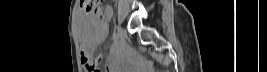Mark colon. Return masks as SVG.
Segmentation results:
<instances>
[{
    "label": "colon",
    "instance_id": "1",
    "mask_svg": "<svg viewBox=\"0 0 267 72\" xmlns=\"http://www.w3.org/2000/svg\"><path fill=\"white\" fill-rule=\"evenodd\" d=\"M102 0H81V8L83 11L90 13L94 17L95 26L101 33L105 28L103 10L101 8ZM88 70L91 72H100L99 60L92 59L88 62Z\"/></svg>",
    "mask_w": 267,
    "mask_h": 72
}]
</instances>
